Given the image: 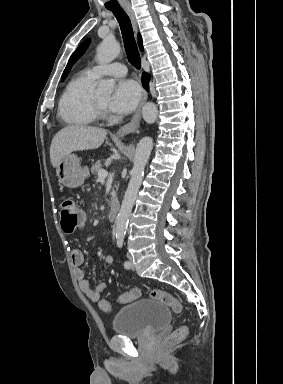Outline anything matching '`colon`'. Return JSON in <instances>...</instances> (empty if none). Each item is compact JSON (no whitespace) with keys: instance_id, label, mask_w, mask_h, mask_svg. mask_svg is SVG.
Segmentation results:
<instances>
[{"instance_id":"1","label":"colon","mask_w":283,"mask_h":384,"mask_svg":"<svg viewBox=\"0 0 283 384\" xmlns=\"http://www.w3.org/2000/svg\"><path fill=\"white\" fill-rule=\"evenodd\" d=\"M60 210V223L61 228L65 233H72L83 222V214L77 207L74 200L70 197H63L59 204ZM139 297V290L133 289L120 295L122 303H128ZM150 297L157 300L164 305L170 307L173 312L180 313L182 311V304L176 297L162 289H153L150 292ZM99 307L103 312L111 311V304L106 300L99 302ZM188 333L187 326H181L174 330L165 339L166 345H172L184 339Z\"/></svg>"}]
</instances>
